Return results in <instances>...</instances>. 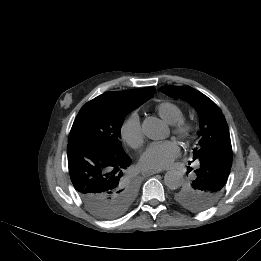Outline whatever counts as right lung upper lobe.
<instances>
[{
    "instance_id": "1",
    "label": "right lung upper lobe",
    "mask_w": 261,
    "mask_h": 261,
    "mask_svg": "<svg viewBox=\"0 0 261 261\" xmlns=\"http://www.w3.org/2000/svg\"><path fill=\"white\" fill-rule=\"evenodd\" d=\"M154 91H155L154 87L135 89V90H126L120 92L112 91V92H106L102 94V97L112 100L114 102L143 104L154 94Z\"/></svg>"
}]
</instances>
